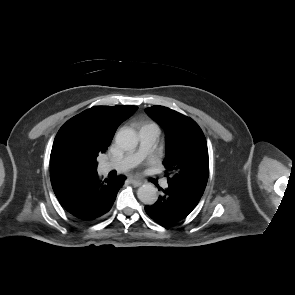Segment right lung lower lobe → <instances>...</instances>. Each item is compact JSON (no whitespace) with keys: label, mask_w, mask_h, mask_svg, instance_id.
<instances>
[{"label":"right lung lower lobe","mask_w":295,"mask_h":295,"mask_svg":"<svg viewBox=\"0 0 295 295\" xmlns=\"http://www.w3.org/2000/svg\"><path fill=\"white\" fill-rule=\"evenodd\" d=\"M125 176L100 179L97 173L84 177L51 179L60 204L76 219L92 222L104 216L112 207Z\"/></svg>","instance_id":"98d812e1"}]
</instances>
